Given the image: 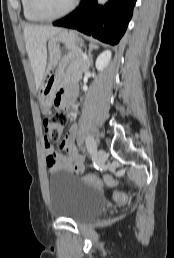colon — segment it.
<instances>
[{
    "mask_svg": "<svg viewBox=\"0 0 174 258\" xmlns=\"http://www.w3.org/2000/svg\"><path fill=\"white\" fill-rule=\"evenodd\" d=\"M65 125L66 116L63 112L57 111L48 115L44 120L46 138L52 142L58 141ZM83 181L98 188L104 187L103 181L92 175L84 176ZM113 196L119 202H126L129 200L131 193L113 192Z\"/></svg>",
    "mask_w": 174,
    "mask_h": 258,
    "instance_id": "5ec220e1",
    "label": "colon"
}]
</instances>
